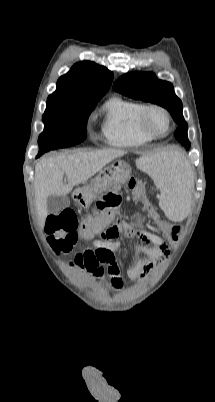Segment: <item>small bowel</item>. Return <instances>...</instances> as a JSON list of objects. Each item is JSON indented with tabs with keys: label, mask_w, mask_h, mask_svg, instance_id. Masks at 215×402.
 <instances>
[{
	"label": "small bowel",
	"mask_w": 215,
	"mask_h": 402,
	"mask_svg": "<svg viewBox=\"0 0 215 402\" xmlns=\"http://www.w3.org/2000/svg\"><path fill=\"white\" fill-rule=\"evenodd\" d=\"M133 235V230L125 223L106 230L100 239L93 242V249H86L79 254L75 263L95 277H103L104 265H107L109 283L114 290L123 286L121 267L116 255L125 253L130 256L128 273L131 281H137L147 275L152 267L169 255V246L155 233L139 231L129 246H124L117 238L119 233Z\"/></svg>",
	"instance_id": "small-bowel-1"
}]
</instances>
